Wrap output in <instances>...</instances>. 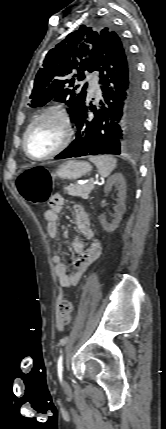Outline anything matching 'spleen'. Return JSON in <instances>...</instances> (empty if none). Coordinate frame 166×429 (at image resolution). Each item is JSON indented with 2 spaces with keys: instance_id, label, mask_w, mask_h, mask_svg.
<instances>
[{
  "instance_id": "3e777b00",
  "label": "spleen",
  "mask_w": 166,
  "mask_h": 429,
  "mask_svg": "<svg viewBox=\"0 0 166 429\" xmlns=\"http://www.w3.org/2000/svg\"><path fill=\"white\" fill-rule=\"evenodd\" d=\"M89 160L96 165L102 177H108L117 164V160L109 155L90 156Z\"/></svg>"
}]
</instances>
